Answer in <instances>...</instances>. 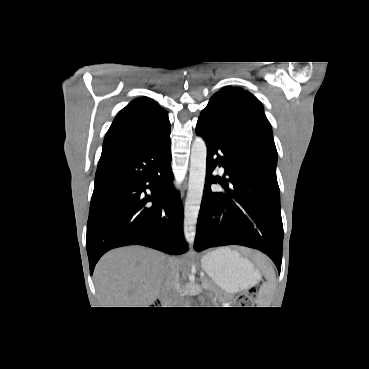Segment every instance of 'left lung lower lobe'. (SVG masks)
Returning <instances> with one entry per match:
<instances>
[{
	"label": "left lung lower lobe",
	"instance_id": "1",
	"mask_svg": "<svg viewBox=\"0 0 369 369\" xmlns=\"http://www.w3.org/2000/svg\"><path fill=\"white\" fill-rule=\"evenodd\" d=\"M196 133L206 141L207 164L195 250L224 245L258 249L280 273L283 225L277 178L254 153L230 143L209 122L198 119ZM218 164L228 179L212 176ZM211 183H219L223 191L213 192ZM221 214L220 222L210 220L211 215Z\"/></svg>",
	"mask_w": 369,
	"mask_h": 369
}]
</instances>
